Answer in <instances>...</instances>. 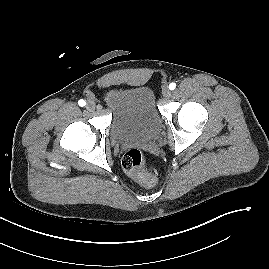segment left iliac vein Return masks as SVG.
Returning a JSON list of instances; mask_svg holds the SVG:
<instances>
[{
    "label": "left iliac vein",
    "instance_id": "left-iliac-vein-1",
    "mask_svg": "<svg viewBox=\"0 0 269 269\" xmlns=\"http://www.w3.org/2000/svg\"><path fill=\"white\" fill-rule=\"evenodd\" d=\"M162 95L165 97V98H169L171 96V91L170 89L165 86L163 89H162Z\"/></svg>",
    "mask_w": 269,
    "mask_h": 269
}]
</instances>
